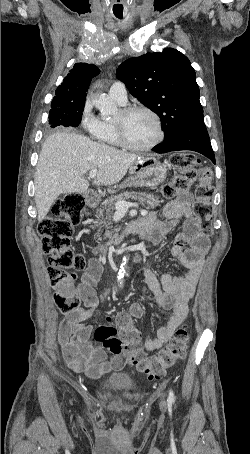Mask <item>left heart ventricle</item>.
<instances>
[{"mask_svg": "<svg viewBox=\"0 0 250 454\" xmlns=\"http://www.w3.org/2000/svg\"><path fill=\"white\" fill-rule=\"evenodd\" d=\"M122 117L119 112L116 119ZM124 126L129 141L137 146H145L157 136L156 123L146 112H135L124 118Z\"/></svg>", "mask_w": 250, "mask_h": 454, "instance_id": "1", "label": "left heart ventricle"}]
</instances>
